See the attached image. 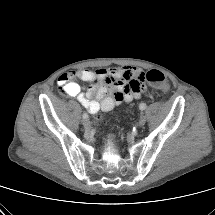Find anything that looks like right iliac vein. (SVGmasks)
I'll use <instances>...</instances> for the list:
<instances>
[{"label":"right iliac vein","mask_w":215,"mask_h":215,"mask_svg":"<svg viewBox=\"0 0 215 215\" xmlns=\"http://www.w3.org/2000/svg\"><path fill=\"white\" fill-rule=\"evenodd\" d=\"M83 126L85 129H90L91 128V123L88 119L83 120Z\"/></svg>","instance_id":"63e3f726"}]
</instances>
